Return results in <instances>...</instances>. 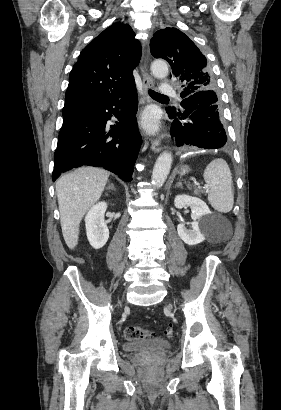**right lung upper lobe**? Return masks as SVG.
<instances>
[{"label": "right lung upper lobe", "instance_id": "obj_1", "mask_svg": "<svg viewBox=\"0 0 281 410\" xmlns=\"http://www.w3.org/2000/svg\"><path fill=\"white\" fill-rule=\"evenodd\" d=\"M141 46L128 24L114 23L80 53L69 75L63 109L88 108L135 86Z\"/></svg>", "mask_w": 281, "mask_h": 410}]
</instances>
